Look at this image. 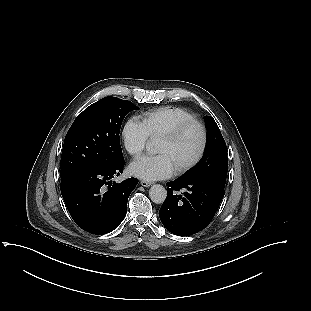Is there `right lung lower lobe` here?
<instances>
[{
    "label": "right lung lower lobe",
    "instance_id": "obj_1",
    "mask_svg": "<svg viewBox=\"0 0 311 311\" xmlns=\"http://www.w3.org/2000/svg\"><path fill=\"white\" fill-rule=\"evenodd\" d=\"M124 160L110 166L92 165L61 178V194L75 223L93 234L113 231L125 218L127 201L138 180L112 182Z\"/></svg>",
    "mask_w": 311,
    "mask_h": 311
}]
</instances>
